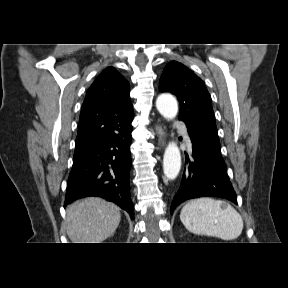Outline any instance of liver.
<instances>
[{"instance_id": "1", "label": "liver", "mask_w": 288, "mask_h": 288, "mask_svg": "<svg viewBox=\"0 0 288 288\" xmlns=\"http://www.w3.org/2000/svg\"><path fill=\"white\" fill-rule=\"evenodd\" d=\"M121 220L120 208L97 197L67 207L66 231L72 243H101L113 235Z\"/></svg>"}]
</instances>
